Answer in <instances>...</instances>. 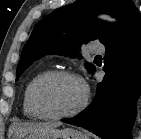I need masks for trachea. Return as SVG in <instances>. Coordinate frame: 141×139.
Masks as SVG:
<instances>
[{
	"instance_id": "3493384b",
	"label": "trachea",
	"mask_w": 141,
	"mask_h": 139,
	"mask_svg": "<svg viewBox=\"0 0 141 139\" xmlns=\"http://www.w3.org/2000/svg\"><path fill=\"white\" fill-rule=\"evenodd\" d=\"M96 58H101V56L100 55H97Z\"/></svg>"
}]
</instances>
